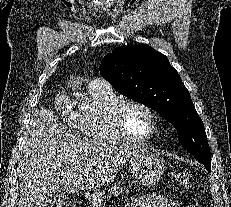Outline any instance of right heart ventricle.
<instances>
[{"mask_svg":"<svg viewBox=\"0 0 231 207\" xmlns=\"http://www.w3.org/2000/svg\"><path fill=\"white\" fill-rule=\"evenodd\" d=\"M91 105L76 112L74 127L79 135L96 142L123 141L110 121V111L119 101L118 96L109 87H89Z\"/></svg>","mask_w":231,"mask_h":207,"instance_id":"obj_1","label":"right heart ventricle"}]
</instances>
